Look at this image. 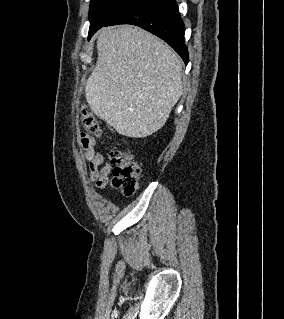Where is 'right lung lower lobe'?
<instances>
[{
  "label": "right lung lower lobe",
  "mask_w": 284,
  "mask_h": 319,
  "mask_svg": "<svg viewBox=\"0 0 284 319\" xmlns=\"http://www.w3.org/2000/svg\"><path fill=\"white\" fill-rule=\"evenodd\" d=\"M117 24H133L150 31L166 41L185 64L188 63V49L184 42L185 26L175 0H135L103 26Z\"/></svg>",
  "instance_id": "98d812e1"
}]
</instances>
